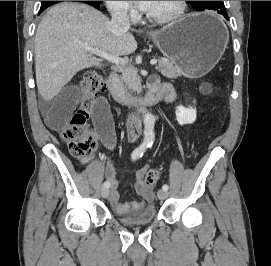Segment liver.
Instances as JSON below:
<instances>
[{"label":"liver","instance_id":"obj_1","mask_svg":"<svg viewBox=\"0 0 271 266\" xmlns=\"http://www.w3.org/2000/svg\"><path fill=\"white\" fill-rule=\"evenodd\" d=\"M83 45L113 56L137 49L134 36L126 32L116 37L99 10L79 3L55 5L42 18L35 37L36 82L45 101L52 100L79 71L101 66Z\"/></svg>","mask_w":271,"mask_h":266}]
</instances>
